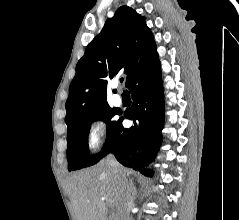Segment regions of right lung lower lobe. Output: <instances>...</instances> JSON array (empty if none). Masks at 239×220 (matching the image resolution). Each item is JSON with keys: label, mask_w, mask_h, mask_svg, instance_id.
I'll use <instances>...</instances> for the list:
<instances>
[{"label": "right lung lower lobe", "mask_w": 239, "mask_h": 220, "mask_svg": "<svg viewBox=\"0 0 239 220\" xmlns=\"http://www.w3.org/2000/svg\"><path fill=\"white\" fill-rule=\"evenodd\" d=\"M128 89L133 104L124 116L133 121V126L125 129L122 126L124 118L119 119L101 157L112 152L124 166L150 176L151 170L142 168L152 162L158 152L164 122L160 62L134 77Z\"/></svg>", "instance_id": "98d812e1"}]
</instances>
